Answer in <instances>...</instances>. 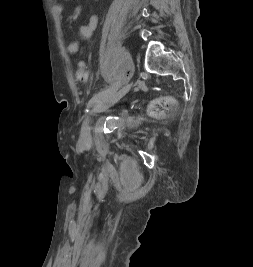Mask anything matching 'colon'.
<instances>
[{
  "label": "colon",
  "mask_w": 253,
  "mask_h": 267,
  "mask_svg": "<svg viewBox=\"0 0 253 267\" xmlns=\"http://www.w3.org/2000/svg\"><path fill=\"white\" fill-rule=\"evenodd\" d=\"M76 78L79 81H85L88 77L87 68L84 63H79L76 68ZM175 107V101L172 98H162L153 102L151 108L155 113H167L173 110Z\"/></svg>",
  "instance_id": "5ec220e1"
}]
</instances>
